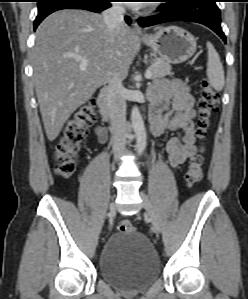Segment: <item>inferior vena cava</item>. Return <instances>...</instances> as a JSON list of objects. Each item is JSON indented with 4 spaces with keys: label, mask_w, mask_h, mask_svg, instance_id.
<instances>
[{
    "label": "inferior vena cava",
    "mask_w": 248,
    "mask_h": 299,
    "mask_svg": "<svg viewBox=\"0 0 248 299\" xmlns=\"http://www.w3.org/2000/svg\"><path fill=\"white\" fill-rule=\"evenodd\" d=\"M125 9L121 4L113 5L102 13L103 21L110 32L118 25L124 24ZM107 105L113 132V153L116 161L123 155L127 138L126 103L124 87L118 76H112L108 81Z\"/></svg>",
    "instance_id": "inferior-vena-cava-1"
}]
</instances>
